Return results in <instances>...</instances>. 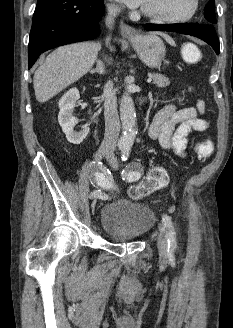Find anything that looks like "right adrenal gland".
Returning a JSON list of instances; mask_svg holds the SVG:
<instances>
[{"label":"right adrenal gland","instance_id":"obj_1","mask_svg":"<svg viewBox=\"0 0 233 328\" xmlns=\"http://www.w3.org/2000/svg\"><path fill=\"white\" fill-rule=\"evenodd\" d=\"M90 73H98L99 75H103L105 73V65L102 60H96V69L91 70Z\"/></svg>","mask_w":233,"mask_h":328}]
</instances>
